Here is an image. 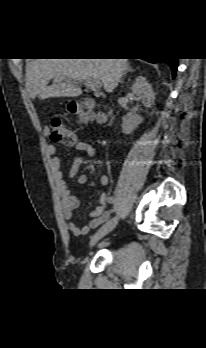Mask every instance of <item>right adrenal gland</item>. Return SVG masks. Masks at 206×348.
Returning a JSON list of instances; mask_svg holds the SVG:
<instances>
[{"mask_svg":"<svg viewBox=\"0 0 206 348\" xmlns=\"http://www.w3.org/2000/svg\"><path fill=\"white\" fill-rule=\"evenodd\" d=\"M133 71H134V69H132L131 66H128L124 75H126L128 72H133Z\"/></svg>","mask_w":206,"mask_h":348,"instance_id":"right-adrenal-gland-1","label":"right adrenal gland"}]
</instances>
